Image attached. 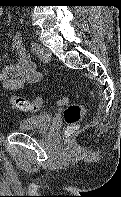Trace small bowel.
Wrapping results in <instances>:
<instances>
[{"mask_svg": "<svg viewBox=\"0 0 121 197\" xmlns=\"http://www.w3.org/2000/svg\"><path fill=\"white\" fill-rule=\"evenodd\" d=\"M3 10L0 8V19ZM12 50L16 53V60L11 66L0 71V84L7 90H20L26 83L39 81L40 74L37 71L35 62L28 54L19 33L14 34L11 43Z\"/></svg>", "mask_w": 121, "mask_h": 197, "instance_id": "small-bowel-1", "label": "small bowel"}]
</instances>
